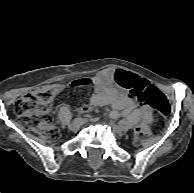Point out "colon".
I'll return each instance as SVG.
<instances>
[{
	"mask_svg": "<svg viewBox=\"0 0 194 193\" xmlns=\"http://www.w3.org/2000/svg\"><path fill=\"white\" fill-rule=\"evenodd\" d=\"M116 79L121 86L127 88L138 99L143 107L149 106L156 115H165L169 111L168 101L154 86L139 88V80L122 71L116 74ZM89 85L90 80L85 78L70 83L44 86L24 94L14 105V112L20 126L27 130L36 131L46 141H57L61 134L52 123L49 115V104L68 87L82 89ZM138 136L143 138L147 137L148 134L145 131H140Z\"/></svg>",
	"mask_w": 194,
	"mask_h": 193,
	"instance_id": "5ec220e1",
	"label": "colon"
}]
</instances>
